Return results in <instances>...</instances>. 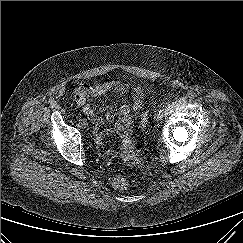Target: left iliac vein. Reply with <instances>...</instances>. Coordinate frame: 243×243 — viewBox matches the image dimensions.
I'll use <instances>...</instances> for the list:
<instances>
[{"mask_svg": "<svg viewBox=\"0 0 243 243\" xmlns=\"http://www.w3.org/2000/svg\"><path fill=\"white\" fill-rule=\"evenodd\" d=\"M155 120H156L157 122H159V121L161 120V116H160L159 114H156V115H155Z\"/></svg>", "mask_w": 243, "mask_h": 243, "instance_id": "obj_1", "label": "left iliac vein"}]
</instances>
